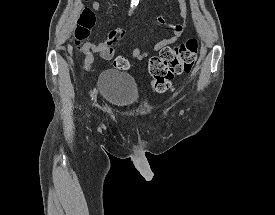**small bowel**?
<instances>
[{
    "label": "small bowel",
    "instance_id": "obj_1",
    "mask_svg": "<svg viewBox=\"0 0 275 215\" xmlns=\"http://www.w3.org/2000/svg\"><path fill=\"white\" fill-rule=\"evenodd\" d=\"M180 2V9H181V16L184 19L182 24H175V23H168V21L159 16L156 19V22L161 25L165 26L168 25L172 29V34L168 37L163 38L162 40L158 41L150 51H142L139 48L133 49L131 53L125 55L126 58H132L136 60H144L150 56L152 52H156L161 50L163 47L175 43L183 34V32L187 28V18H188V11L185 5V0H179ZM92 8L100 12L101 11V4L98 1H94L92 3ZM123 30H113L110 31L107 35V40L101 43H95L94 41H86L83 45V50L86 54V67L89 68L90 65L94 61V57L92 53L99 54L101 58L105 60H110L113 57V45L116 44L122 37H123Z\"/></svg>",
    "mask_w": 275,
    "mask_h": 215
}]
</instances>
